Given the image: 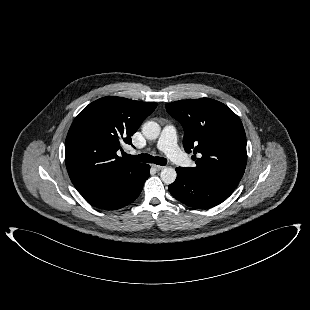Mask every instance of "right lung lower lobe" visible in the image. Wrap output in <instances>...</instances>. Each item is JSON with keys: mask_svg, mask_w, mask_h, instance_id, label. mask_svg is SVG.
Here are the masks:
<instances>
[{"mask_svg": "<svg viewBox=\"0 0 310 310\" xmlns=\"http://www.w3.org/2000/svg\"><path fill=\"white\" fill-rule=\"evenodd\" d=\"M150 175V166L143 164L131 177L81 194L91 205L106 210H116L133 202L141 193Z\"/></svg>", "mask_w": 310, "mask_h": 310, "instance_id": "obj_1", "label": "right lung lower lobe"}]
</instances>
